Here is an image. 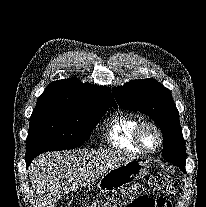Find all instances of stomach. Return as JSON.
Here are the masks:
<instances>
[{
  "label": "stomach",
  "mask_w": 206,
  "mask_h": 207,
  "mask_svg": "<svg viewBox=\"0 0 206 207\" xmlns=\"http://www.w3.org/2000/svg\"><path fill=\"white\" fill-rule=\"evenodd\" d=\"M149 169V161L143 158L125 162L101 176L98 184L99 190L102 193L114 192L143 178L149 173Z\"/></svg>",
  "instance_id": "0dacf381"
}]
</instances>
